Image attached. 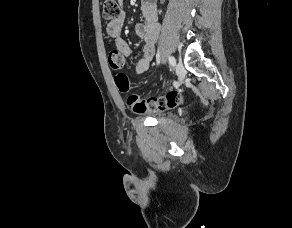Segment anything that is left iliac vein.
Returning a JSON list of instances; mask_svg holds the SVG:
<instances>
[{
  "label": "left iliac vein",
  "instance_id": "obj_1",
  "mask_svg": "<svg viewBox=\"0 0 292 228\" xmlns=\"http://www.w3.org/2000/svg\"><path fill=\"white\" fill-rule=\"evenodd\" d=\"M176 73L178 76L179 81H182L185 78V68L181 62L177 63L176 65Z\"/></svg>",
  "mask_w": 292,
  "mask_h": 228
}]
</instances>
